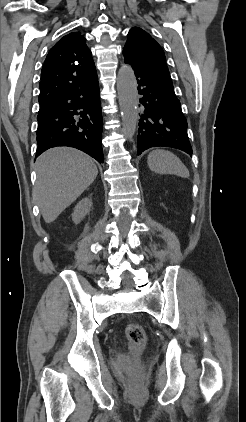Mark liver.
<instances>
[{
	"instance_id": "liver-1",
	"label": "liver",
	"mask_w": 246,
	"mask_h": 422,
	"mask_svg": "<svg viewBox=\"0 0 246 422\" xmlns=\"http://www.w3.org/2000/svg\"><path fill=\"white\" fill-rule=\"evenodd\" d=\"M36 172L33 195L44 221L51 223L94 182L98 169L85 153L56 147L38 157Z\"/></svg>"
}]
</instances>
